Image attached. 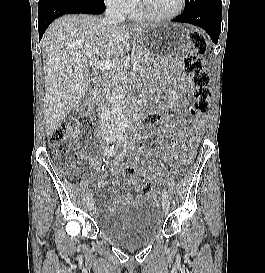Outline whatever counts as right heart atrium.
Instances as JSON below:
<instances>
[{
    "mask_svg": "<svg viewBox=\"0 0 265 273\" xmlns=\"http://www.w3.org/2000/svg\"><path fill=\"white\" fill-rule=\"evenodd\" d=\"M105 4L120 13H130L138 4V0H104Z\"/></svg>",
    "mask_w": 265,
    "mask_h": 273,
    "instance_id": "1",
    "label": "right heart atrium"
}]
</instances>
